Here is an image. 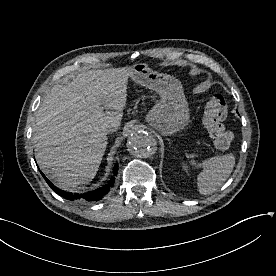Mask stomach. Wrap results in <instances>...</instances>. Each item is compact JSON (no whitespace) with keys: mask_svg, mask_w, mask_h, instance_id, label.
I'll list each match as a JSON object with an SVG mask.
<instances>
[{"mask_svg":"<svg viewBox=\"0 0 276 276\" xmlns=\"http://www.w3.org/2000/svg\"><path fill=\"white\" fill-rule=\"evenodd\" d=\"M130 78L160 95L150 110L147 122L163 134H173L188 124L190 113L181 82L175 77L153 71L145 63L132 66Z\"/></svg>","mask_w":276,"mask_h":276,"instance_id":"1","label":"stomach"}]
</instances>
